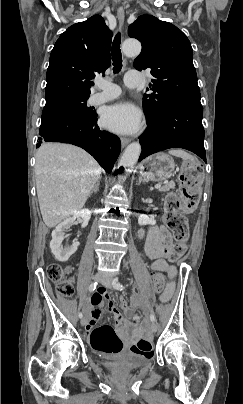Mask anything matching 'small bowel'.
I'll return each mask as SVG.
<instances>
[{
  "label": "small bowel",
  "mask_w": 243,
  "mask_h": 404,
  "mask_svg": "<svg viewBox=\"0 0 243 404\" xmlns=\"http://www.w3.org/2000/svg\"><path fill=\"white\" fill-rule=\"evenodd\" d=\"M171 240L169 232L164 227H153L148 233L145 244L144 254L149 260H153L152 268L158 271H164L168 274L170 280L162 292L161 301H168L175 288V278L177 270L174 266L169 265L163 257L167 254V246ZM108 300L107 311L112 313L116 319L117 335L129 344H132L142 333L141 326L138 325L137 318L133 321H124L121 314L110 299L109 293L101 288L91 298V306L89 317L86 320L87 331L95 325L103 312V301ZM136 325L132 334L129 333L130 327Z\"/></svg>",
  "instance_id": "1"
}]
</instances>
